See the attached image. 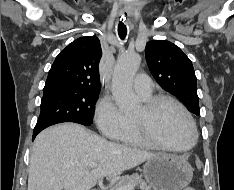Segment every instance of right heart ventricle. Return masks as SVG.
Segmentation results:
<instances>
[{"instance_id":"e07e8e85","label":"right heart ventricle","mask_w":234,"mask_h":190,"mask_svg":"<svg viewBox=\"0 0 234 190\" xmlns=\"http://www.w3.org/2000/svg\"><path fill=\"white\" fill-rule=\"evenodd\" d=\"M151 97L144 98L145 100L150 99ZM119 141L125 145L133 147H151L143 137L140 135L134 119H128V124L125 131L122 133Z\"/></svg>"}]
</instances>
